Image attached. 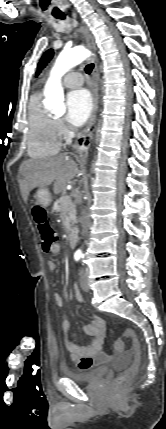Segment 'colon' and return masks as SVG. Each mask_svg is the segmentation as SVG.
<instances>
[{"mask_svg":"<svg viewBox=\"0 0 166 429\" xmlns=\"http://www.w3.org/2000/svg\"><path fill=\"white\" fill-rule=\"evenodd\" d=\"M33 216L40 233L43 250L47 252L54 244L57 243V232L51 226L50 222L48 221L46 211L42 207L35 206L33 208ZM125 340L131 341L132 346L130 349V354L133 357V360L131 364L116 377L114 381V387L116 389H122L129 384V382L135 376L140 362V345L135 333L132 330H125L122 337L114 341V349L118 351L123 350Z\"/></svg>","mask_w":166,"mask_h":429,"instance_id":"colon-1","label":"colon"}]
</instances>
